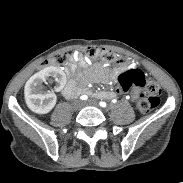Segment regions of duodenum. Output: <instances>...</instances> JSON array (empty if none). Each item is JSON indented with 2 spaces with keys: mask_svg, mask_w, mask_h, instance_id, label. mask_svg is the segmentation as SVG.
<instances>
[{
  "mask_svg": "<svg viewBox=\"0 0 183 183\" xmlns=\"http://www.w3.org/2000/svg\"><path fill=\"white\" fill-rule=\"evenodd\" d=\"M78 92L79 88L73 81L69 82L64 88V94L69 97L76 95Z\"/></svg>",
  "mask_w": 183,
  "mask_h": 183,
  "instance_id": "1",
  "label": "duodenum"
}]
</instances>
